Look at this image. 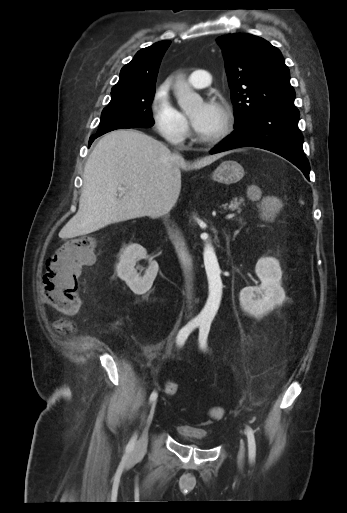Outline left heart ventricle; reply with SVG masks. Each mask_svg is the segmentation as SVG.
<instances>
[{
  "label": "left heart ventricle",
  "mask_w": 347,
  "mask_h": 513,
  "mask_svg": "<svg viewBox=\"0 0 347 513\" xmlns=\"http://www.w3.org/2000/svg\"><path fill=\"white\" fill-rule=\"evenodd\" d=\"M204 103L199 102L197 105L192 109L190 116L195 118L203 109ZM223 125V113L219 106L215 105V115L212 120V122L202 131H199V135L204 138H209L214 135H216L222 128Z\"/></svg>",
  "instance_id": "obj_1"
}]
</instances>
